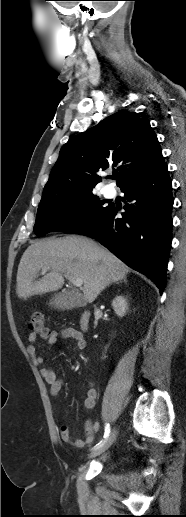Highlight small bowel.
Segmentation results:
<instances>
[{
    "label": "small bowel",
    "instance_id": "c3829d8e",
    "mask_svg": "<svg viewBox=\"0 0 186 517\" xmlns=\"http://www.w3.org/2000/svg\"><path fill=\"white\" fill-rule=\"evenodd\" d=\"M59 339L72 340L78 349H83L85 347V340L81 332L71 327H64L60 330L51 331L48 335V345L53 346ZM28 341L30 342V344L27 346V353L30 355V357L34 359L36 364H43L44 359L40 356H37L36 354V348L34 346V343L36 342V337L33 334H29ZM41 374L44 377L47 384L49 385L51 394L53 396H58L64 385L63 380L57 376V374L51 367L42 368ZM87 385L88 389L86 397L84 399V406L87 409H92L95 407L96 404L97 390L95 389L91 381H87ZM98 431L99 422L97 420L89 418L85 422L84 438L74 439L67 425H63L60 428V437L64 442L69 443L74 447L82 448L88 444H91L95 440Z\"/></svg>",
    "mask_w": 186,
    "mask_h": 517
}]
</instances>
